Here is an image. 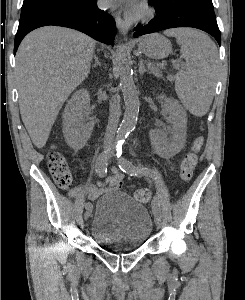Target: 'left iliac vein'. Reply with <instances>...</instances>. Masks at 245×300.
<instances>
[{
    "mask_svg": "<svg viewBox=\"0 0 245 300\" xmlns=\"http://www.w3.org/2000/svg\"><path fill=\"white\" fill-rule=\"evenodd\" d=\"M154 221H155V224L158 228H160L162 226V219L160 216L158 215H155L154 217Z\"/></svg>",
    "mask_w": 245,
    "mask_h": 300,
    "instance_id": "1",
    "label": "left iliac vein"
}]
</instances>
